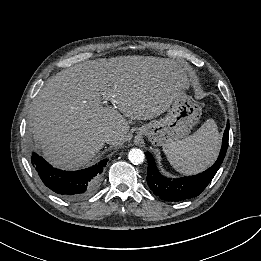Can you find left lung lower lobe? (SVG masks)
Masks as SVG:
<instances>
[{"label":"left lung lower lobe","instance_id":"left-lung-lower-lobe-1","mask_svg":"<svg viewBox=\"0 0 261 261\" xmlns=\"http://www.w3.org/2000/svg\"><path fill=\"white\" fill-rule=\"evenodd\" d=\"M229 139V121L222 140V147L216 162L206 171L177 179L166 178L158 171L154 158L145 153L148 160L147 184L153 193L164 201L178 202L198 196L210 183L223 162Z\"/></svg>","mask_w":261,"mask_h":261}]
</instances>
